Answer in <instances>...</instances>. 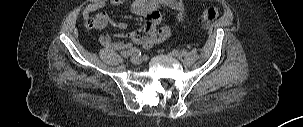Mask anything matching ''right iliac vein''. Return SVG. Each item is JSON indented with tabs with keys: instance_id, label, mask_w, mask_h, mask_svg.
I'll return each instance as SVG.
<instances>
[{
	"instance_id": "1",
	"label": "right iliac vein",
	"mask_w": 303,
	"mask_h": 127,
	"mask_svg": "<svg viewBox=\"0 0 303 127\" xmlns=\"http://www.w3.org/2000/svg\"><path fill=\"white\" fill-rule=\"evenodd\" d=\"M131 62L135 65H140L142 63V59L138 55H134L131 57Z\"/></svg>"
}]
</instances>
